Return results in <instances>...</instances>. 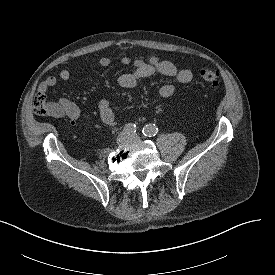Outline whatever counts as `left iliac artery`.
Here are the masks:
<instances>
[{"mask_svg": "<svg viewBox=\"0 0 275 275\" xmlns=\"http://www.w3.org/2000/svg\"><path fill=\"white\" fill-rule=\"evenodd\" d=\"M142 133L146 137H153V136L157 135L158 128L155 124H147L142 129Z\"/></svg>", "mask_w": 275, "mask_h": 275, "instance_id": "obj_1", "label": "left iliac artery"}]
</instances>
